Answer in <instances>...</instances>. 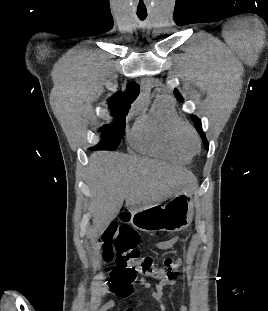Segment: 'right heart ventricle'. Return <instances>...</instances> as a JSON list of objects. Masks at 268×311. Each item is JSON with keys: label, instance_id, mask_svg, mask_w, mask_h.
Listing matches in <instances>:
<instances>
[{"label": "right heart ventricle", "instance_id": "1", "mask_svg": "<svg viewBox=\"0 0 268 311\" xmlns=\"http://www.w3.org/2000/svg\"><path fill=\"white\" fill-rule=\"evenodd\" d=\"M178 119L171 100L160 96L147 113L137 118L129 141L140 152L179 164L189 163L191 154L182 149L175 138L174 127Z\"/></svg>", "mask_w": 268, "mask_h": 311}]
</instances>
